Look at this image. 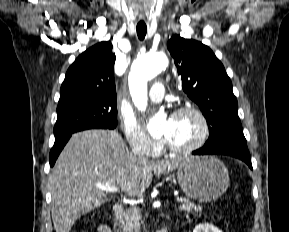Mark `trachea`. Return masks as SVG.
Wrapping results in <instances>:
<instances>
[{"mask_svg":"<svg viewBox=\"0 0 289 232\" xmlns=\"http://www.w3.org/2000/svg\"><path fill=\"white\" fill-rule=\"evenodd\" d=\"M136 30H137L138 38L140 40H143L147 33V26L145 24H137Z\"/></svg>","mask_w":289,"mask_h":232,"instance_id":"trachea-1","label":"trachea"}]
</instances>
